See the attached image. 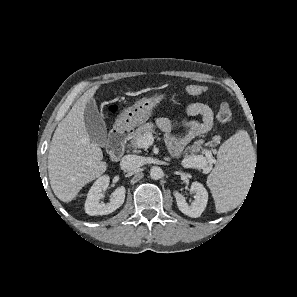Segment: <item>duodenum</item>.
I'll return each instance as SVG.
<instances>
[{
  "label": "duodenum",
  "mask_w": 297,
  "mask_h": 297,
  "mask_svg": "<svg viewBox=\"0 0 297 297\" xmlns=\"http://www.w3.org/2000/svg\"><path fill=\"white\" fill-rule=\"evenodd\" d=\"M130 133V126L123 121L111 131L108 141V150L112 160L117 161L121 158Z\"/></svg>",
  "instance_id": "1"
}]
</instances>
